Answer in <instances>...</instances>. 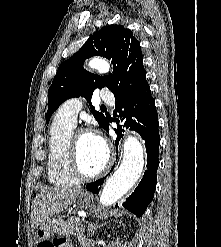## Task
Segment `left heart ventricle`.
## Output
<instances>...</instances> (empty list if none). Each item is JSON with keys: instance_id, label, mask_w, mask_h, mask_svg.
Instances as JSON below:
<instances>
[{"instance_id": "left-heart-ventricle-1", "label": "left heart ventricle", "mask_w": 221, "mask_h": 247, "mask_svg": "<svg viewBox=\"0 0 221 247\" xmlns=\"http://www.w3.org/2000/svg\"><path fill=\"white\" fill-rule=\"evenodd\" d=\"M78 156L82 170L87 174L98 172L106 161V149L93 134L81 135L78 139Z\"/></svg>"}]
</instances>
